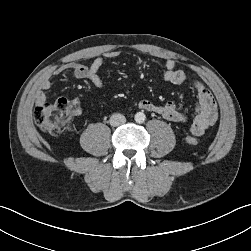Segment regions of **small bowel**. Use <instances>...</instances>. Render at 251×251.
I'll return each instance as SVG.
<instances>
[{
	"mask_svg": "<svg viewBox=\"0 0 251 251\" xmlns=\"http://www.w3.org/2000/svg\"><path fill=\"white\" fill-rule=\"evenodd\" d=\"M117 56L118 52L116 51H110L104 54V58L107 59H113ZM104 58L97 57L89 65L69 63L57 69L55 74H62L70 70L75 79H85L88 80L94 87L102 88L103 81L99 75V71L104 64ZM165 68L166 70L163 74L165 81L174 85L189 83L196 92L198 103L191 124V132L197 136L202 135L207 128L216 122L218 118L217 104L212 94L203 83L196 79L190 78L184 71L176 69V63L174 60L166 59ZM51 86L52 83L49 78H44L40 82L41 91L36 94L37 104L45 102L46 96L43 91L49 90ZM72 102L76 104L79 109L78 99H73ZM137 106L146 111L160 114L165 119L175 123L183 124L188 121V116L179 110L173 101L158 105L149 99H141L137 102Z\"/></svg>",
	"mask_w": 251,
	"mask_h": 251,
	"instance_id": "c3829d8e",
	"label": "small bowel"
}]
</instances>
